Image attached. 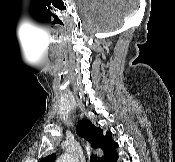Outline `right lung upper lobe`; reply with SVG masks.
Instances as JSON below:
<instances>
[{"label":"right lung upper lobe","mask_w":175,"mask_h":162,"mask_svg":"<svg viewBox=\"0 0 175 162\" xmlns=\"http://www.w3.org/2000/svg\"><path fill=\"white\" fill-rule=\"evenodd\" d=\"M76 132L80 137L87 139L93 148H98L104 151V156L99 162H106L114 153H116V147L118 144L112 140V133L107 132L103 135V130L100 127H96L89 120H82L76 127ZM56 154H51L43 158L40 162H54Z\"/></svg>","instance_id":"obj_1"}]
</instances>
